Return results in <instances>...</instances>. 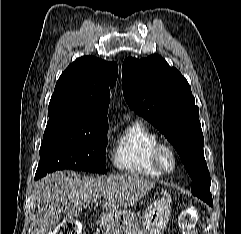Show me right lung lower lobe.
<instances>
[{
	"instance_id": "98d812e1",
	"label": "right lung lower lobe",
	"mask_w": 241,
	"mask_h": 234,
	"mask_svg": "<svg viewBox=\"0 0 241 234\" xmlns=\"http://www.w3.org/2000/svg\"><path fill=\"white\" fill-rule=\"evenodd\" d=\"M35 179H39V177L35 176Z\"/></svg>"
}]
</instances>
